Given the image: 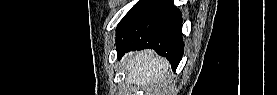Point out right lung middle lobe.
<instances>
[{
    "label": "right lung middle lobe",
    "instance_id": "dd1d6c3e",
    "mask_svg": "<svg viewBox=\"0 0 277 95\" xmlns=\"http://www.w3.org/2000/svg\"><path fill=\"white\" fill-rule=\"evenodd\" d=\"M147 0H140L137 2L130 11L123 17V19L119 22L117 29L139 8L141 7Z\"/></svg>",
    "mask_w": 277,
    "mask_h": 95
}]
</instances>
